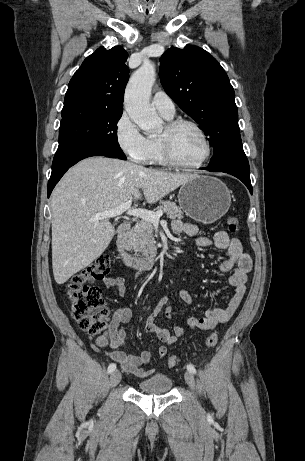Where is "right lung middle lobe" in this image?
Segmentation results:
<instances>
[{
  "label": "right lung middle lobe",
  "instance_id": "obj_1",
  "mask_svg": "<svg viewBox=\"0 0 305 461\" xmlns=\"http://www.w3.org/2000/svg\"><path fill=\"white\" fill-rule=\"evenodd\" d=\"M121 115L122 111L95 106L63 108L56 153L82 147H101L125 160L116 130Z\"/></svg>",
  "mask_w": 305,
  "mask_h": 461
}]
</instances>
